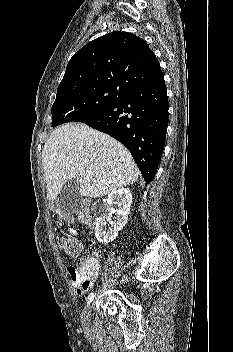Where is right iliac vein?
Listing matches in <instances>:
<instances>
[{
  "mask_svg": "<svg viewBox=\"0 0 233 352\" xmlns=\"http://www.w3.org/2000/svg\"><path fill=\"white\" fill-rule=\"evenodd\" d=\"M92 309V304H88L87 307L85 308L83 314H82V323L83 325H87L90 319V313Z\"/></svg>",
  "mask_w": 233,
  "mask_h": 352,
  "instance_id": "63e3f726",
  "label": "right iliac vein"
}]
</instances>
